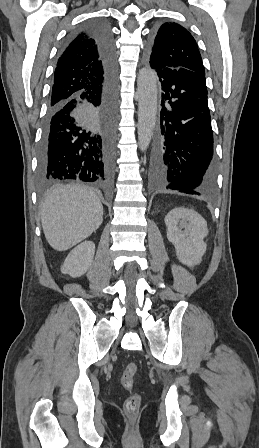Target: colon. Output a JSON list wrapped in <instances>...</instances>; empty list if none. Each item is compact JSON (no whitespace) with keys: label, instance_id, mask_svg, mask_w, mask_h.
<instances>
[{"label":"colon","instance_id":"5ec220e1","mask_svg":"<svg viewBox=\"0 0 259 448\" xmlns=\"http://www.w3.org/2000/svg\"><path fill=\"white\" fill-rule=\"evenodd\" d=\"M137 370H138V366L134 362L129 363L125 367V369H124V371L122 373L121 381H122L123 386L126 389H128V390L132 389L133 380H134V377H135V375L137 373ZM140 404H141V398H140L139 394L133 393L132 395H130L125 400V403H124V409H125L126 414L130 418H134L137 415L138 411H139Z\"/></svg>","mask_w":259,"mask_h":448}]
</instances>
